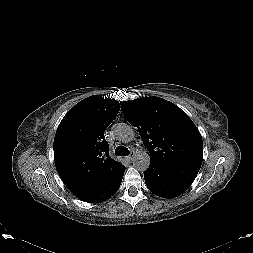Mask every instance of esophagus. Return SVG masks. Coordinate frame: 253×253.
Here are the masks:
<instances>
[{"label":"esophagus","instance_id":"34e87169","mask_svg":"<svg viewBox=\"0 0 253 253\" xmlns=\"http://www.w3.org/2000/svg\"><path fill=\"white\" fill-rule=\"evenodd\" d=\"M134 155H135V153L131 152L130 156L127 157V160L130 161V162L133 161Z\"/></svg>","mask_w":253,"mask_h":253}]
</instances>
